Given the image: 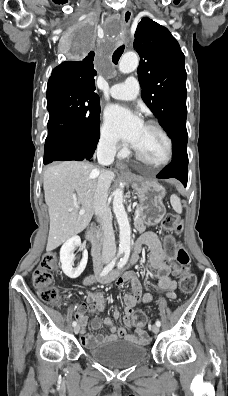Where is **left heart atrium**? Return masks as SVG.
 Listing matches in <instances>:
<instances>
[{"mask_svg": "<svg viewBox=\"0 0 228 396\" xmlns=\"http://www.w3.org/2000/svg\"><path fill=\"white\" fill-rule=\"evenodd\" d=\"M105 120L115 137L135 146L144 127V123L138 115L126 107L113 105L106 110Z\"/></svg>", "mask_w": 228, "mask_h": 396, "instance_id": "39dd6f15", "label": "left heart atrium"}]
</instances>
